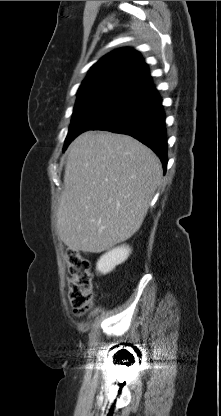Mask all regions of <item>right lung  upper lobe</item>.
Instances as JSON below:
<instances>
[{"label": "right lung upper lobe", "instance_id": "right-lung-upper-lobe-1", "mask_svg": "<svg viewBox=\"0 0 221 416\" xmlns=\"http://www.w3.org/2000/svg\"><path fill=\"white\" fill-rule=\"evenodd\" d=\"M152 87L149 70L139 52L122 48L93 65L77 95L78 98L102 93L129 96Z\"/></svg>", "mask_w": 221, "mask_h": 416}]
</instances>
